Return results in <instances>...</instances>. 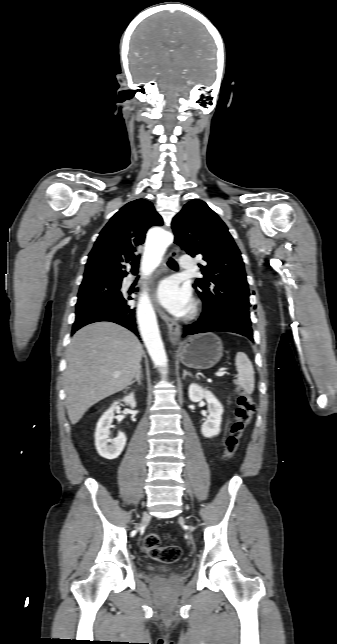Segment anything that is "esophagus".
I'll use <instances>...</instances> for the list:
<instances>
[{
  "instance_id": "34e87169",
  "label": "esophagus",
  "mask_w": 337,
  "mask_h": 644,
  "mask_svg": "<svg viewBox=\"0 0 337 644\" xmlns=\"http://www.w3.org/2000/svg\"><path fill=\"white\" fill-rule=\"evenodd\" d=\"M170 257L176 258L178 256V250L173 249L169 253ZM157 311L160 317L166 322L168 327V336L172 344H178L180 341V326L179 324L169 317L159 306H157Z\"/></svg>"
}]
</instances>
